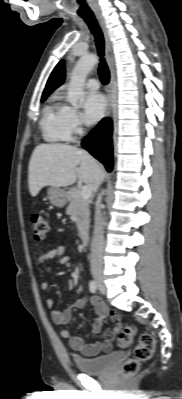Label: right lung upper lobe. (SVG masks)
<instances>
[{"label":"right lung upper lobe","instance_id":"obj_1","mask_svg":"<svg viewBox=\"0 0 182 399\" xmlns=\"http://www.w3.org/2000/svg\"><path fill=\"white\" fill-rule=\"evenodd\" d=\"M65 79V69L64 63L61 61L53 70L50 75L45 90L43 92L42 98H46L50 93H52L56 88H58Z\"/></svg>","mask_w":182,"mask_h":399}]
</instances>
